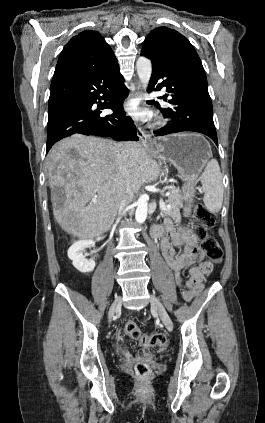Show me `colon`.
Returning a JSON list of instances; mask_svg holds the SVG:
<instances>
[{
  "mask_svg": "<svg viewBox=\"0 0 265 423\" xmlns=\"http://www.w3.org/2000/svg\"><path fill=\"white\" fill-rule=\"evenodd\" d=\"M196 223L194 226L195 234L200 241L201 249L206 257L214 262L220 263L223 259V251L219 242L208 235V231L215 225L216 216L202 205L196 207ZM126 333L148 348L163 349L166 347L167 338L164 334L153 333L148 334L140 330L135 321L129 320L125 325ZM151 371L149 366L144 362H138L135 365V374L140 379L149 377Z\"/></svg>",
  "mask_w": 265,
  "mask_h": 423,
  "instance_id": "1",
  "label": "colon"
}]
</instances>
